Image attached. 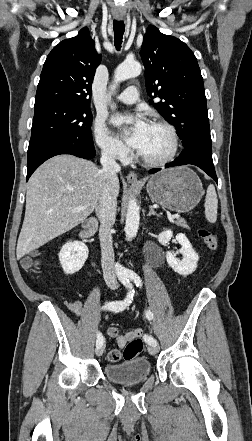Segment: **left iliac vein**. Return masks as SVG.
Here are the masks:
<instances>
[{"mask_svg":"<svg viewBox=\"0 0 252 441\" xmlns=\"http://www.w3.org/2000/svg\"><path fill=\"white\" fill-rule=\"evenodd\" d=\"M158 350H159V348L157 345H150L148 347V351L151 355H155L156 353H158Z\"/></svg>","mask_w":252,"mask_h":441,"instance_id":"obj_1","label":"left iliac vein"}]
</instances>
